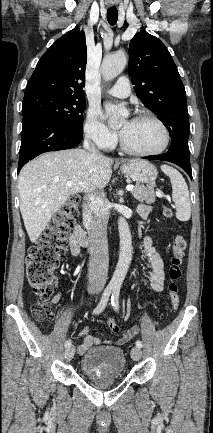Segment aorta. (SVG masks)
I'll return each mask as SVG.
<instances>
[{
	"label": "aorta",
	"instance_id": "762f6f07",
	"mask_svg": "<svg viewBox=\"0 0 213 433\" xmlns=\"http://www.w3.org/2000/svg\"><path fill=\"white\" fill-rule=\"evenodd\" d=\"M127 58L125 53L117 52L104 57L101 65L102 76L106 81L117 77L125 68ZM105 108L113 114L111 125L116 124L117 118L125 112V109L117 105L107 103ZM118 230L120 236L119 260L109 283L112 288H120L127 274L132 259V239L129 225L125 218L118 219Z\"/></svg>",
	"mask_w": 213,
	"mask_h": 433
}]
</instances>
